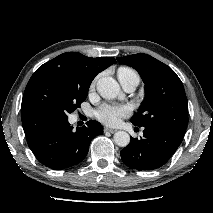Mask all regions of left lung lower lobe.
I'll return each mask as SVG.
<instances>
[{
  "label": "left lung lower lobe",
  "mask_w": 213,
  "mask_h": 213,
  "mask_svg": "<svg viewBox=\"0 0 213 213\" xmlns=\"http://www.w3.org/2000/svg\"><path fill=\"white\" fill-rule=\"evenodd\" d=\"M183 137L184 133L169 127L146 126L141 139L131 137L129 145L121 150L122 161L138 171L160 168L177 150Z\"/></svg>",
  "instance_id": "1"
}]
</instances>
